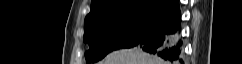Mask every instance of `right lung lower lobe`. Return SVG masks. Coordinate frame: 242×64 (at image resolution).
<instances>
[{
  "instance_id": "right-lung-lower-lobe-1",
  "label": "right lung lower lobe",
  "mask_w": 242,
  "mask_h": 64,
  "mask_svg": "<svg viewBox=\"0 0 242 64\" xmlns=\"http://www.w3.org/2000/svg\"><path fill=\"white\" fill-rule=\"evenodd\" d=\"M179 1L164 13L154 29L137 45L144 51L157 55L171 64H183Z\"/></svg>"
}]
</instances>
